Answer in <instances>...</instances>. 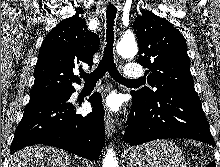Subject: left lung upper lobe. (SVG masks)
<instances>
[{
    "label": "left lung upper lobe",
    "mask_w": 220,
    "mask_h": 167,
    "mask_svg": "<svg viewBox=\"0 0 220 167\" xmlns=\"http://www.w3.org/2000/svg\"><path fill=\"white\" fill-rule=\"evenodd\" d=\"M133 27L140 47L138 62L148 69L147 81L153 88L133 92L146 100L171 89L197 94L183 35L167 20L149 11L137 16Z\"/></svg>",
    "instance_id": "obj_1"
}]
</instances>
